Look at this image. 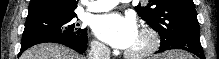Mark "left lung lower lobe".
<instances>
[{
    "label": "left lung lower lobe",
    "instance_id": "0a47b994",
    "mask_svg": "<svg viewBox=\"0 0 219 59\" xmlns=\"http://www.w3.org/2000/svg\"><path fill=\"white\" fill-rule=\"evenodd\" d=\"M172 49H183L197 55L200 59H205L203 48L200 43L199 31H190L178 35L169 42L161 44L156 53Z\"/></svg>",
    "mask_w": 219,
    "mask_h": 59
}]
</instances>
